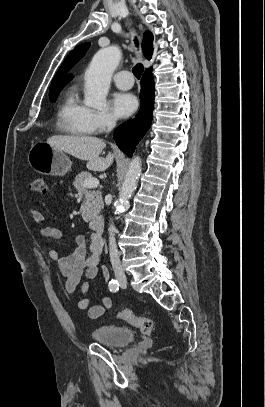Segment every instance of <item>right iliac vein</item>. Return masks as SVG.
<instances>
[{"label": "right iliac vein", "mask_w": 265, "mask_h": 407, "mask_svg": "<svg viewBox=\"0 0 265 407\" xmlns=\"http://www.w3.org/2000/svg\"><path fill=\"white\" fill-rule=\"evenodd\" d=\"M119 282H120V283H125L126 280H125V279H119Z\"/></svg>", "instance_id": "right-iliac-vein-1"}]
</instances>
